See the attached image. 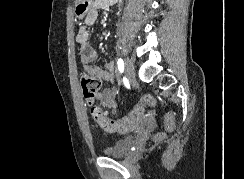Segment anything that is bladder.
Masks as SVG:
<instances>
[{
	"instance_id": "31cf9c89",
	"label": "bladder",
	"mask_w": 244,
	"mask_h": 179,
	"mask_svg": "<svg viewBox=\"0 0 244 179\" xmlns=\"http://www.w3.org/2000/svg\"><path fill=\"white\" fill-rule=\"evenodd\" d=\"M136 137L123 138L117 141L112 147L105 148L104 154L108 158H121L130 154L134 149Z\"/></svg>"
}]
</instances>
